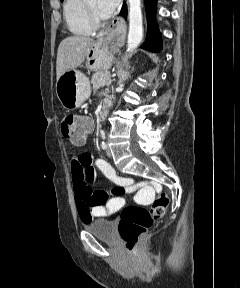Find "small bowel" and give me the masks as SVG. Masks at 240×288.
<instances>
[{"label": "small bowel", "mask_w": 240, "mask_h": 288, "mask_svg": "<svg viewBox=\"0 0 240 288\" xmlns=\"http://www.w3.org/2000/svg\"><path fill=\"white\" fill-rule=\"evenodd\" d=\"M84 143L85 138L74 141L75 146H83ZM96 171H100L105 177L117 184L110 192L112 197H109L107 192L93 190L90 186ZM71 174L77 210L84 223L118 211L125 204L123 195L136 189L132 180L119 176L107 161L101 158L95 159L89 152H81L73 156ZM142 195L151 197L153 189L145 188Z\"/></svg>", "instance_id": "small-bowel-1"}]
</instances>
